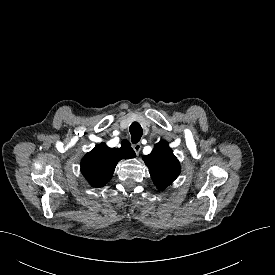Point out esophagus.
<instances>
[{"label":"esophagus","mask_w":275,"mask_h":275,"mask_svg":"<svg viewBox=\"0 0 275 275\" xmlns=\"http://www.w3.org/2000/svg\"><path fill=\"white\" fill-rule=\"evenodd\" d=\"M132 147H133L135 153L138 155L141 150V144L137 143V144H134Z\"/></svg>","instance_id":"1"}]
</instances>
